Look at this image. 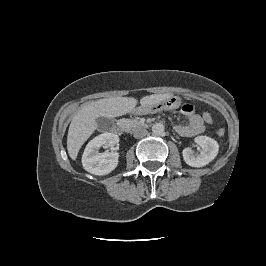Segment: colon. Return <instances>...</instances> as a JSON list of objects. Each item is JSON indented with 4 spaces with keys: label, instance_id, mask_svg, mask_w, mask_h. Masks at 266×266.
Wrapping results in <instances>:
<instances>
[{
    "label": "colon",
    "instance_id": "obj_1",
    "mask_svg": "<svg viewBox=\"0 0 266 266\" xmlns=\"http://www.w3.org/2000/svg\"><path fill=\"white\" fill-rule=\"evenodd\" d=\"M202 118H203L204 122H206L208 124L213 123V117L208 112L203 113ZM224 134H225V130L223 128H220V129L217 130V135L218 136H223Z\"/></svg>",
    "mask_w": 266,
    "mask_h": 266
}]
</instances>
